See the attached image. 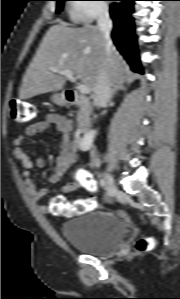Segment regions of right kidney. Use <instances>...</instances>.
I'll return each mask as SVG.
<instances>
[{
	"label": "right kidney",
	"mask_w": 180,
	"mask_h": 299,
	"mask_svg": "<svg viewBox=\"0 0 180 299\" xmlns=\"http://www.w3.org/2000/svg\"><path fill=\"white\" fill-rule=\"evenodd\" d=\"M95 134L96 132L94 130H90L83 136L80 142V149L82 151H88L91 148Z\"/></svg>",
	"instance_id": "obj_1"
}]
</instances>
